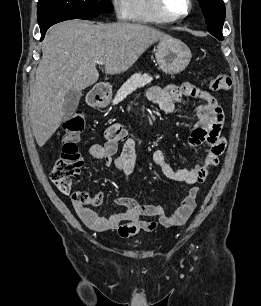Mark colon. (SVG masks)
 Instances as JSON below:
<instances>
[{"mask_svg": "<svg viewBox=\"0 0 261 306\" xmlns=\"http://www.w3.org/2000/svg\"><path fill=\"white\" fill-rule=\"evenodd\" d=\"M209 85L213 91H226L231 88L232 80L226 74H219L209 80ZM84 127L85 117L81 112H75L64 124L62 151L50 172V180L63 193L70 191V179L79 175L83 165L77 141ZM72 198L87 205H97L101 201L97 194L75 193Z\"/></svg>", "mask_w": 261, "mask_h": 306, "instance_id": "5ec220e1", "label": "colon"}]
</instances>
